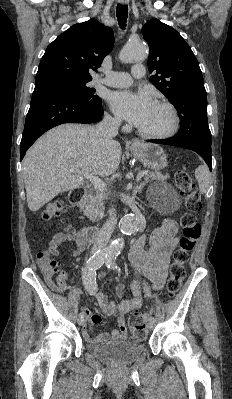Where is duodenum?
Masks as SVG:
<instances>
[{
	"label": "duodenum",
	"instance_id": "obj_1",
	"mask_svg": "<svg viewBox=\"0 0 232 399\" xmlns=\"http://www.w3.org/2000/svg\"><path fill=\"white\" fill-rule=\"evenodd\" d=\"M86 196V190L84 188H77L73 190L69 196L70 202L74 205H79ZM99 230L96 227H89L85 229L81 238L85 242H95L98 238Z\"/></svg>",
	"mask_w": 232,
	"mask_h": 399
}]
</instances>
